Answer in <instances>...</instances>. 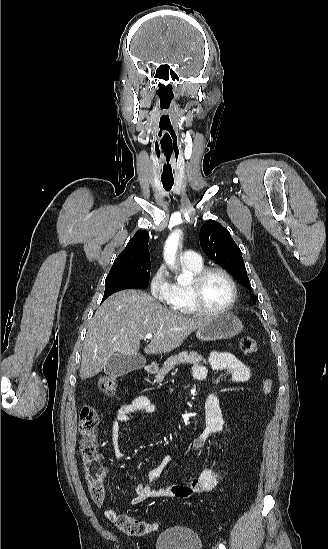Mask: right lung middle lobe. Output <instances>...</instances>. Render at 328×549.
Wrapping results in <instances>:
<instances>
[{"label":"right lung middle lobe","mask_w":328,"mask_h":549,"mask_svg":"<svg viewBox=\"0 0 328 549\" xmlns=\"http://www.w3.org/2000/svg\"><path fill=\"white\" fill-rule=\"evenodd\" d=\"M149 276V259L111 270L105 280V292L102 301L119 290L145 288L149 283Z\"/></svg>","instance_id":"1"}]
</instances>
